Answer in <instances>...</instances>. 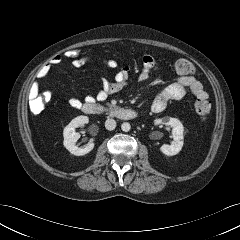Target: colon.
Returning <instances> with one entry per match:
<instances>
[{
  "instance_id": "obj_1",
  "label": "colon",
  "mask_w": 240,
  "mask_h": 240,
  "mask_svg": "<svg viewBox=\"0 0 240 240\" xmlns=\"http://www.w3.org/2000/svg\"><path fill=\"white\" fill-rule=\"evenodd\" d=\"M64 59H67L74 67H81L85 64L86 54L83 49L79 47H72L65 51L63 54ZM174 68L179 74H192L194 72L193 64L184 58H179L174 62ZM49 97L44 94L42 96H37L30 98L29 106L30 110L34 114L42 112L46 106ZM194 108L198 114L200 120L205 122L211 111V104L207 99H197Z\"/></svg>"
}]
</instances>
